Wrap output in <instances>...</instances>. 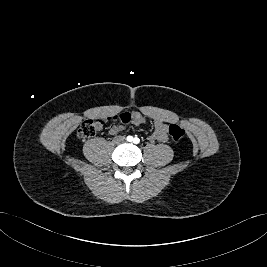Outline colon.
I'll return each mask as SVG.
<instances>
[{
  "instance_id": "1",
  "label": "colon",
  "mask_w": 267,
  "mask_h": 267,
  "mask_svg": "<svg viewBox=\"0 0 267 267\" xmlns=\"http://www.w3.org/2000/svg\"><path fill=\"white\" fill-rule=\"evenodd\" d=\"M116 119L119 121H125L127 118V113H120L115 115ZM114 116L107 118L108 120H112ZM105 120H86L84 121L78 131L77 135L80 139L86 140L94 137L97 132L102 128ZM168 132L173 139V141H180L184 135L185 131L177 124H171L168 128Z\"/></svg>"
}]
</instances>
